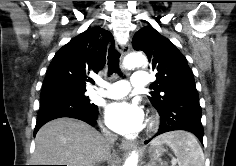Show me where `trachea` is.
<instances>
[{
  "instance_id": "1",
  "label": "trachea",
  "mask_w": 236,
  "mask_h": 166,
  "mask_svg": "<svg viewBox=\"0 0 236 166\" xmlns=\"http://www.w3.org/2000/svg\"><path fill=\"white\" fill-rule=\"evenodd\" d=\"M119 58L120 54L113 49H110L108 52V72L109 75L112 73H120L119 69Z\"/></svg>"
}]
</instances>
